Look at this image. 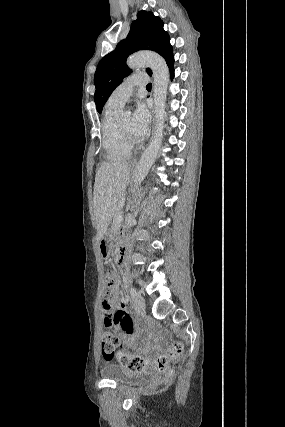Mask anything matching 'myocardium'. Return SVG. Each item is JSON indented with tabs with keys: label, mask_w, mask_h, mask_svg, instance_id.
I'll list each match as a JSON object with an SVG mask.
<instances>
[{
	"label": "myocardium",
	"mask_w": 285,
	"mask_h": 427,
	"mask_svg": "<svg viewBox=\"0 0 285 427\" xmlns=\"http://www.w3.org/2000/svg\"><path fill=\"white\" fill-rule=\"evenodd\" d=\"M118 128H119V131L121 132V134H122V136H123V139H124V141L127 143V144H129V145H134L135 144V141H134V139H133V137H131L126 131H125V129L123 128V126H122V124H121V121H120V119L118 120Z\"/></svg>",
	"instance_id": "1"
}]
</instances>
